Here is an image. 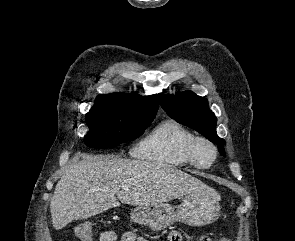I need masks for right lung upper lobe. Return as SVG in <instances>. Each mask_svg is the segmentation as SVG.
<instances>
[{
	"mask_svg": "<svg viewBox=\"0 0 295 241\" xmlns=\"http://www.w3.org/2000/svg\"><path fill=\"white\" fill-rule=\"evenodd\" d=\"M98 97H107L110 99H114L124 103L127 106L137 108L142 111L155 114V115L159 105L158 96L156 94L142 97L137 95L136 93H132V94L112 93L108 95H99Z\"/></svg>",
	"mask_w": 295,
	"mask_h": 241,
	"instance_id": "1",
	"label": "right lung upper lobe"
}]
</instances>
